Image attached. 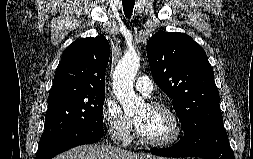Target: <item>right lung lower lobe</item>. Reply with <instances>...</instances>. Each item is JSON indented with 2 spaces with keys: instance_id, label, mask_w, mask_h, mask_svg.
<instances>
[{
  "instance_id": "right-lung-lower-lobe-1",
  "label": "right lung lower lobe",
  "mask_w": 253,
  "mask_h": 159,
  "mask_svg": "<svg viewBox=\"0 0 253 159\" xmlns=\"http://www.w3.org/2000/svg\"><path fill=\"white\" fill-rule=\"evenodd\" d=\"M104 134L103 129L84 128L60 136L47 145L38 148L35 159H52L57 154L82 144L97 142Z\"/></svg>"
}]
</instances>
